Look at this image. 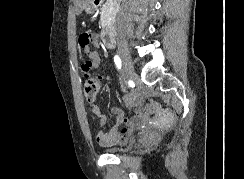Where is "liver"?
Wrapping results in <instances>:
<instances>
[{
    "label": "liver",
    "mask_w": 244,
    "mask_h": 179,
    "mask_svg": "<svg viewBox=\"0 0 244 179\" xmlns=\"http://www.w3.org/2000/svg\"><path fill=\"white\" fill-rule=\"evenodd\" d=\"M93 0H76L75 2V10L76 14H81L83 12L84 8L88 6V4H92Z\"/></svg>",
    "instance_id": "obj_1"
}]
</instances>
